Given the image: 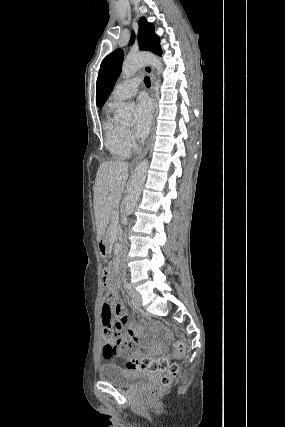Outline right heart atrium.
<instances>
[{
    "mask_svg": "<svg viewBox=\"0 0 285 427\" xmlns=\"http://www.w3.org/2000/svg\"><path fill=\"white\" fill-rule=\"evenodd\" d=\"M126 140L132 147L135 146L134 136L129 130H126Z\"/></svg>",
    "mask_w": 285,
    "mask_h": 427,
    "instance_id": "1",
    "label": "right heart atrium"
}]
</instances>
